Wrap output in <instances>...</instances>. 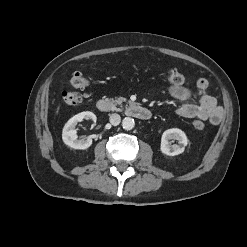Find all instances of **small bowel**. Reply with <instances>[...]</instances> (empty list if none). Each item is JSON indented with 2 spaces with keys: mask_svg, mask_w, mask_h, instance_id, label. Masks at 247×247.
Segmentation results:
<instances>
[{
  "mask_svg": "<svg viewBox=\"0 0 247 247\" xmlns=\"http://www.w3.org/2000/svg\"><path fill=\"white\" fill-rule=\"evenodd\" d=\"M188 85L189 83L171 85L168 88V94L180 102L176 113L183 118L208 120L214 125L219 124L223 119V109L218 105L216 98L210 95L208 81L204 78L196 81L199 95L197 103L191 101L192 94Z\"/></svg>",
  "mask_w": 247,
  "mask_h": 247,
  "instance_id": "obj_1",
  "label": "small bowel"
}]
</instances>
